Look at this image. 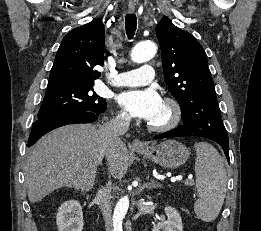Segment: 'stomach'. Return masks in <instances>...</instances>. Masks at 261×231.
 <instances>
[{"instance_id":"stomach-1","label":"stomach","mask_w":261,"mask_h":231,"mask_svg":"<svg viewBox=\"0 0 261 231\" xmlns=\"http://www.w3.org/2000/svg\"><path fill=\"white\" fill-rule=\"evenodd\" d=\"M136 151L164 168H177L184 164L190 156L189 149L176 140H166Z\"/></svg>"}]
</instances>
